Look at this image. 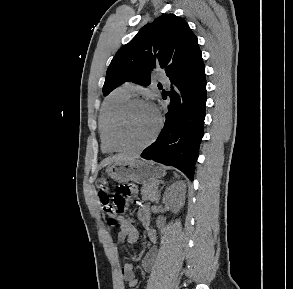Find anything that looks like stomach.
Segmentation results:
<instances>
[{"instance_id": "0dacf381", "label": "stomach", "mask_w": 293, "mask_h": 289, "mask_svg": "<svg viewBox=\"0 0 293 289\" xmlns=\"http://www.w3.org/2000/svg\"><path fill=\"white\" fill-rule=\"evenodd\" d=\"M108 177L119 182L125 183L129 181H134L136 183H153L154 181L162 178L166 174L164 167L155 164L152 161L146 160H123L117 161L108 166L106 169ZM107 182L102 180L100 188H105Z\"/></svg>"}]
</instances>
